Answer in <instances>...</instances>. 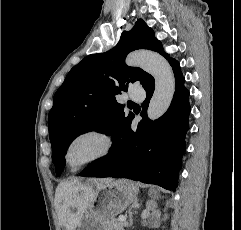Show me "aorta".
<instances>
[{
    "mask_svg": "<svg viewBox=\"0 0 241 230\" xmlns=\"http://www.w3.org/2000/svg\"><path fill=\"white\" fill-rule=\"evenodd\" d=\"M128 66H138L149 73L155 81L147 115L151 120L160 118L169 108L175 92L173 71L161 55L152 52H133L126 58Z\"/></svg>",
    "mask_w": 241,
    "mask_h": 230,
    "instance_id": "1",
    "label": "aorta"
}]
</instances>
